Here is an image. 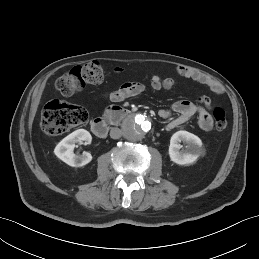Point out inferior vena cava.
<instances>
[{
	"label": "inferior vena cava",
	"instance_id": "1",
	"mask_svg": "<svg viewBox=\"0 0 259 259\" xmlns=\"http://www.w3.org/2000/svg\"><path fill=\"white\" fill-rule=\"evenodd\" d=\"M122 136V130H120L119 128H112L110 131V137L112 139H118Z\"/></svg>",
	"mask_w": 259,
	"mask_h": 259
}]
</instances>
